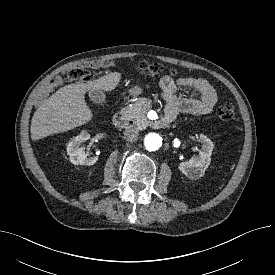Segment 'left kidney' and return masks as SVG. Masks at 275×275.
Returning <instances> with one entry per match:
<instances>
[{
	"mask_svg": "<svg viewBox=\"0 0 275 275\" xmlns=\"http://www.w3.org/2000/svg\"><path fill=\"white\" fill-rule=\"evenodd\" d=\"M202 142L198 155L193 156L188 162L179 164L178 169L188 178L196 180L202 177L210 165L211 154L214 148L213 142L204 134H200Z\"/></svg>",
	"mask_w": 275,
	"mask_h": 275,
	"instance_id": "1",
	"label": "left kidney"
}]
</instances>
